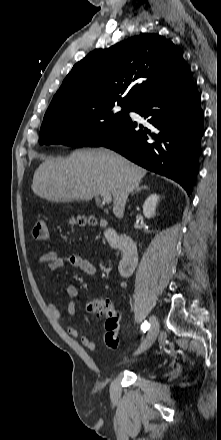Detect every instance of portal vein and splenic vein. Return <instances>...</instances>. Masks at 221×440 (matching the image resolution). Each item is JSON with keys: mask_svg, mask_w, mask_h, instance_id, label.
<instances>
[{"mask_svg": "<svg viewBox=\"0 0 221 440\" xmlns=\"http://www.w3.org/2000/svg\"><path fill=\"white\" fill-rule=\"evenodd\" d=\"M100 196L102 197L103 201L106 203H111L112 201V196L110 193L106 192V193H101Z\"/></svg>", "mask_w": 221, "mask_h": 440, "instance_id": "18ae733b", "label": "portal vein and splenic vein"}]
</instances>
